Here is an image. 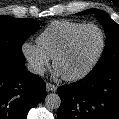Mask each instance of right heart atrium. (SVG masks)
<instances>
[{"instance_id": "right-heart-atrium-1", "label": "right heart atrium", "mask_w": 119, "mask_h": 119, "mask_svg": "<svg viewBox=\"0 0 119 119\" xmlns=\"http://www.w3.org/2000/svg\"><path fill=\"white\" fill-rule=\"evenodd\" d=\"M22 53L28 62L30 70L35 74H42L50 64L51 58L38 44L30 42L23 43Z\"/></svg>"}]
</instances>
